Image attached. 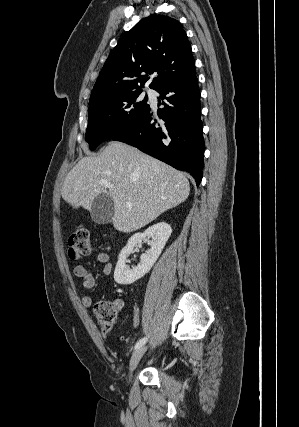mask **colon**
<instances>
[{
  "mask_svg": "<svg viewBox=\"0 0 299 427\" xmlns=\"http://www.w3.org/2000/svg\"><path fill=\"white\" fill-rule=\"evenodd\" d=\"M90 234L86 228H79L69 238V257L76 259L90 253ZM94 313L104 331L111 330L117 312L107 302L100 301L94 306Z\"/></svg>",
  "mask_w": 299,
  "mask_h": 427,
  "instance_id": "colon-1",
  "label": "colon"
}]
</instances>
